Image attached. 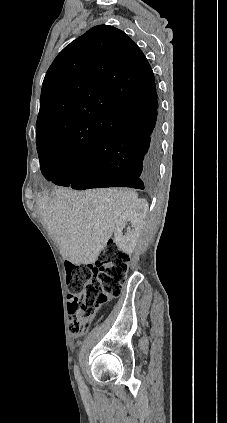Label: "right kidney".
<instances>
[{"label":"right kidney","mask_w":227,"mask_h":423,"mask_svg":"<svg viewBox=\"0 0 227 423\" xmlns=\"http://www.w3.org/2000/svg\"><path fill=\"white\" fill-rule=\"evenodd\" d=\"M148 210V202L144 198H139L120 215L114 229V241L124 253H133ZM127 221H131V225L127 227L126 235H123L122 229L127 225Z\"/></svg>","instance_id":"ca27d5eb"}]
</instances>
